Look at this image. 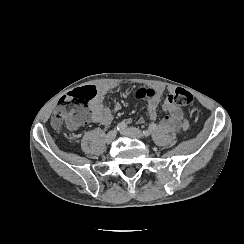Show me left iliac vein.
I'll use <instances>...</instances> for the list:
<instances>
[{
  "label": "left iliac vein",
  "mask_w": 244,
  "mask_h": 244,
  "mask_svg": "<svg viewBox=\"0 0 244 244\" xmlns=\"http://www.w3.org/2000/svg\"><path fill=\"white\" fill-rule=\"evenodd\" d=\"M121 133L126 137L144 139V134L137 128H126Z\"/></svg>",
  "instance_id": "4c4485c4"
}]
</instances>
